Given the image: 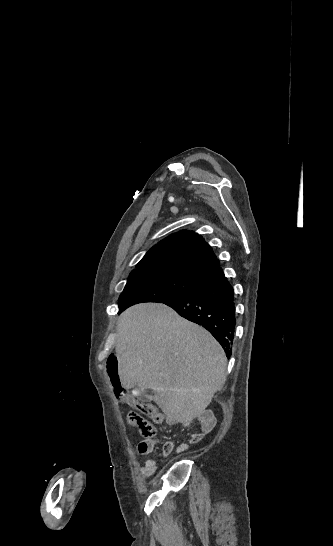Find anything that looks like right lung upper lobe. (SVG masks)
<instances>
[{
  "mask_svg": "<svg viewBox=\"0 0 333 546\" xmlns=\"http://www.w3.org/2000/svg\"><path fill=\"white\" fill-rule=\"evenodd\" d=\"M219 267V260L201 235L180 231L153 246L130 275L169 273L202 280Z\"/></svg>",
  "mask_w": 333,
  "mask_h": 546,
  "instance_id": "1",
  "label": "right lung upper lobe"
}]
</instances>
